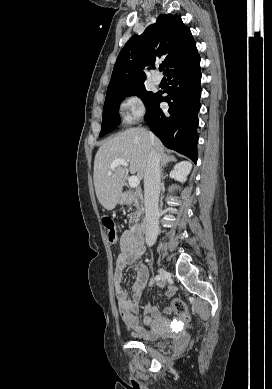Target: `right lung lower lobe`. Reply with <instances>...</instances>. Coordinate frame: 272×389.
<instances>
[{"instance_id":"1","label":"right lung lower lobe","mask_w":272,"mask_h":389,"mask_svg":"<svg viewBox=\"0 0 272 389\" xmlns=\"http://www.w3.org/2000/svg\"><path fill=\"white\" fill-rule=\"evenodd\" d=\"M171 87L162 97L158 93L147 108L145 121L163 144L197 162V127L201 96L200 56L175 67L168 74ZM165 101L169 109L163 111L159 103Z\"/></svg>"}]
</instances>
